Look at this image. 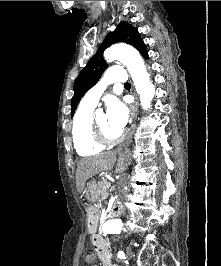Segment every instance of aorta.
<instances>
[{"mask_svg":"<svg viewBox=\"0 0 221 266\" xmlns=\"http://www.w3.org/2000/svg\"><path fill=\"white\" fill-rule=\"evenodd\" d=\"M107 61L118 60L122 62L130 73L143 109L147 110L151 106L154 97L155 87L150 81L144 61L139 52L132 47L115 44L104 53ZM123 224L120 219H109L102 224V230L108 234H119L122 232Z\"/></svg>","mask_w":221,"mask_h":266,"instance_id":"762f6f07","label":"aorta"}]
</instances>
